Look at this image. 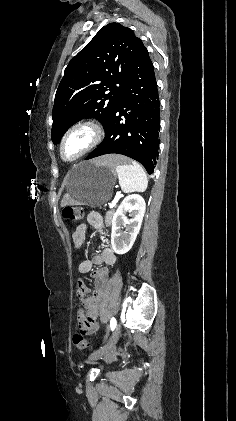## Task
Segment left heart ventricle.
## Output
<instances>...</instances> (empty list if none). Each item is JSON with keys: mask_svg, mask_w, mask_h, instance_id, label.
Listing matches in <instances>:
<instances>
[{"mask_svg": "<svg viewBox=\"0 0 236 421\" xmlns=\"http://www.w3.org/2000/svg\"><path fill=\"white\" fill-rule=\"evenodd\" d=\"M89 140V135L85 131L73 133L65 141L63 147V159L67 162L72 161L85 148Z\"/></svg>", "mask_w": 236, "mask_h": 421, "instance_id": "1", "label": "left heart ventricle"}]
</instances>
